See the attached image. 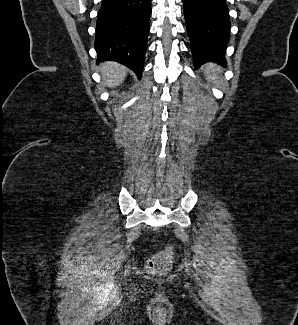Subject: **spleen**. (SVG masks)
<instances>
[{"label": "spleen", "instance_id": "obj_1", "mask_svg": "<svg viewBox=\"0 0 298 325\" xmlns=\"http://www.w3.org/2000/svg\"><path fill=\"white\" fill-rule=\"evenodd\" d=\"M217 72H219V66H216V64H206V72L205 76L207 80H212V82H216Z\"/></svg>", "mask_w": 298, "mask_h": 325}]
</instances>
